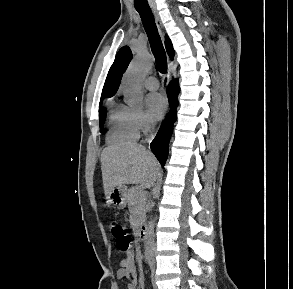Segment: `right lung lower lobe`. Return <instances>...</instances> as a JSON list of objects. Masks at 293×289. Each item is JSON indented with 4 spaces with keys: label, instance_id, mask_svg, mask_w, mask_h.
<instances>
[{
    "label": "right lung lower lobe",
    "instance_id": "1",
    "mask_svg": "<svg viewBox=\"0 0 293 289\" xmlns=\"http://www.w3.org/2000/svg\"><path fill=\"white\" fill-rule=\"evenodd\" d=\"M179 86L178 80H172L167 88V95L171 105L170 112L161 125L157 136L151 143V149L162 166L165 165L168 156V144L172 134L173 124L176 120V107L178 106Z\"/></svg>",
    "mask_w": 293,
    "mask_h": 289
}]
</instances>
